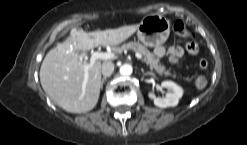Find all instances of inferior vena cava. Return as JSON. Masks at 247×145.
<instances>
[{"label": "inferior vena cava", "mask_w": 247, "mask_h": 145, "mask_svg": "<svg viewBox=\"0 0 247 145\" xmlns=\"http://www.w3.org/2000/svg\"><path fill=\"white\" fill-rule=\"evenodd\" d=\"M102 75L104 77H109L112 75L113 71H114V63L111 61H106L102 64Z\"/></svg>", "instance_id": "602c4592"}]
</instances>
